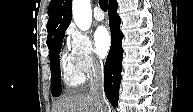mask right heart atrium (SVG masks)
Masks as SVG:
<instances>
[{
	"mask_svg": "<svg viewBox=\"0 0 193 112\" xmlns=\"http://www.w3.org/2000/svg\"><path fill=\"white\" fill-rule=\"evenodd\" d=\"M71 54L83 75L93 76L102 70V62L95 55L90 38L76 30H68Z\"/></svg>",
	"mask_w": 193,
	"mask_h": 112,
	"instance_id": "1",
	"label": "right heart atrium"
}]
</instances>
